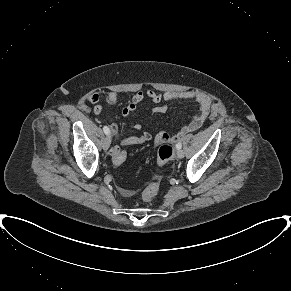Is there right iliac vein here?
<instances>
[{"instance_id": "obj_1", "label": "right iliac vein", "mask_w": 291, "mask_h": 291, "mask_svg": "<svg viewBox=\"0 0 291 291\" xmlns=\"http://www.w3.org/2000/svg\"><path fill=\"white\" fill-rule=\"evenodd\" d=\"M111 144V137L108 135L104 140H103V149L108 150Z\"/></svg>"}]
</instances>
